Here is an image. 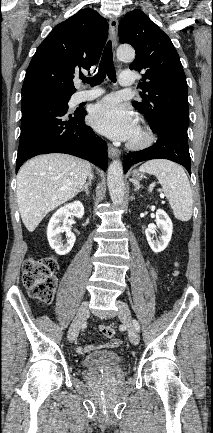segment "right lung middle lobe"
Segmentation results:
<instances>
[{"label": "right lung middle lobe", "instance_id": "1", "mask_svg": "<svg viewBox=\"0 0 213 433\" xmlns=\"http://www.w3.org/2000/svg\"><path fill=\"white\" fill-rule=\"evenodd\" d=\"M30 96L55 102V103L61 105L62 107H64L65 109H68V101H69L71 95H58V94L42 93L41 92V93H34Z\"/></svg>", "mask_w": 213, "mask_h": 433}]
</instances>
